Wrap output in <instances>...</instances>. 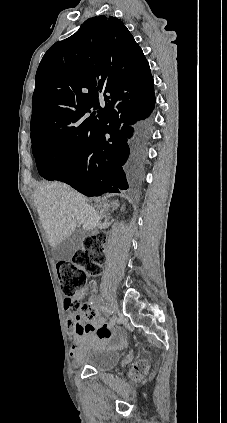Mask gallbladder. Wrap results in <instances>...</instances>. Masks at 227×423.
Listing matches in <instances>:
<instances>
[{
  "mask_svg": "<svg viewBox=\"0 0 227 423\" xmlns=\"http://www.w3.org/2000/svg\"><path fill=\"white\" fill-rule=\"evenodd\" d=\"M89 235L88 231H85L83 227H77L73 231L72 235L60 241L58 245L52 247V255L56 261H61V259H71L77 249L83 247V241L85 237Z\"/></svg>",
  "mask_w": 227,
  "mask_h": 423,
  "instance_id": "obj_1",
  "label": "gallbladder"
}]
</instances>
